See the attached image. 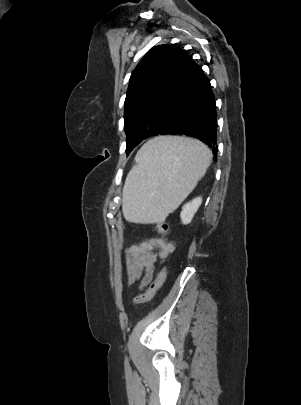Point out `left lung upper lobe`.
<instances>
[{"instance_id":"left-lung-upper-lobe-1","label":"left lung upper lobe","mask_w":301,"mask_h":405,"mask_svg":"<svg viewBox=\"0 0 301 405\" xmlns=\"http://www.w3.org/2000/svg\"><path fill=\"white\" fill-rule=\"evenodd\" d=\"M193 59L170 44L152 48L131 74L125 99L124 129L128 154L135 138L153 136L180 95Z\"/></svg>"}]
</instances>
